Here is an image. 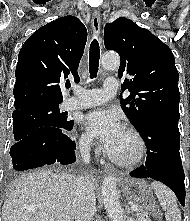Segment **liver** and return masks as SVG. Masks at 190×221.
Wrapping results in <instances>:
<instances>
[{"label": "liver", "instance_id": "1", "mask_svg": "<svg viewBox=\"0 0 190 221\" xmlns=\"http://www.w3.org/2000/svg\"><path fill=\"white\" fill-rule=\"evenodd\" d=\"M75 176L38 170L10 187L2 207V221H73Z\"/></svg>", "mask_w": 190, "mask_h": 221}]
</instances>
